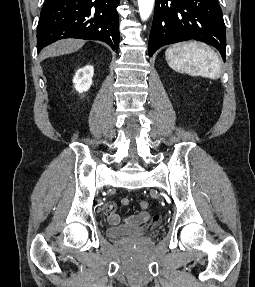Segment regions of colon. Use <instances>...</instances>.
Segmentation results:
<instances>
[{"instance_id":"5ec220e1","label":"colon","mask_w":255,"mask_h":287,"mask_svg":"<svg viewBox=\"0 0 255 287\" xmlns=\"http://www.w3.org/2000/svg\"><path fill=\"white\" fill-rule=\"evenodd\" d=\"M140 207L142 209H147L149 207V203L147 201H141L140 202Z\"/></svg>"}]
</instances>
